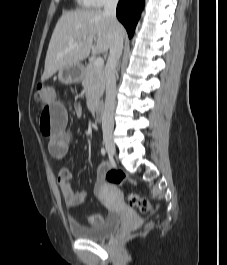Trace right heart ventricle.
I'll list each match as a JSON object with an SVG mask.
<instances>
[{
    "mask_svg": "<svg viewBox=\"0 0 227 265\" xmlns=\"http://www.w3.org/2000/svg\"><path fill=\"white\" fill-rule=\"evenodd\" d=\"M78 3L82 6H92L89 2V0H77Z\"/></svg>",
    "mask_w": 227,
    "mask_h": 265,
    "instance_id": "e07e8e85",
    "label": "right heart ventricle"
}]
</instances>
